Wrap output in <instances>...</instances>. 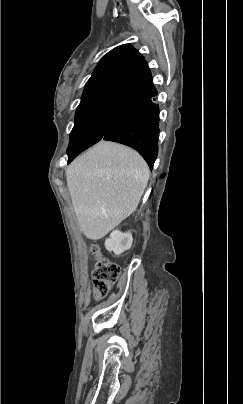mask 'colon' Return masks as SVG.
I'll list each match as a JSON object with an SVG mask.
<instances>
[{
	"label": "colon",
	"instance_id": "1",
	"mask_svg": "<svg viewBox=\"0 0 243 404\" xmlns=\"http://www.w3.org/2000/svg\"><path fill=\"white\" fill-rule=\"evenodd\" d=\"M91 250L96 254V263L92 273L94 296L96 299H101L110 293L113 283L120 276L121 269L118 264L101 257L96 246H92Z\"/></svg>",
	"mask_w": 243,
	"mask_h": 404
}]
</instances>
